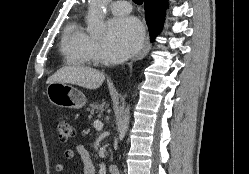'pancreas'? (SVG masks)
I'll use <instances>...</instances> for the list:
<instances>
[{"label":"pancreas","instance_id":"obj_1","mask_svg":"<svg viewBox=\"0 0 249 174\" xmlns=\"http://www.w3.org/2000/svg\"><path fill=\"white\" fill-rule=\"evenodd\" d=\"M88 111H90V117H92L95 112H99V115H101V113L103 112V106L99 102L91 103Z\"/></svg>","mask_w":249,"mask_h":174}]
</instances>
